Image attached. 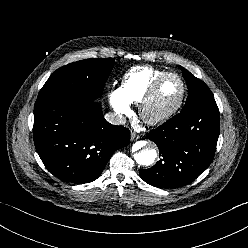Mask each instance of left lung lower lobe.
<instances>
[{
  "label": "left lung lower lobe",
  "mask_w": 248,
  "mask_h": 248,
  "mask_svg": "<svg viewBox=\"0 0 248 248\" xmlns=\"http://www.w3.org/2000/svg\"><path fill=\"white\" fill-rule=\"evenodd\" d=\"M216 102L180 112L147 139L154 141L161 159L149 169H140L141 178L158 188H177L196 179L212 162L219 136Z\"/></svg>",
  "instance_id": "0a47b994"
}]
</instances>
